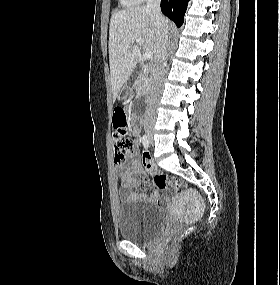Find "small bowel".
<instances>
[{
	"instance_id": "small-bowel-1",
	"label": "small bowel",
	"mask_w": 280,
	"mask_h": 285,
	"mask_svg": "<svg viewBox=\"0 0 280 285\" xmlns=\"http://www.w3.org/2000/svg\"><path fill=\"white\" fill-rule=\"evenodd\" d=\"M132 134L137 136L139 129L134 127ZM119 170V181L121 183L120 197L123 200L129 199H143L157 205H163L165 198L162 196L160 190H155L150 195H144L137 193L134 189L141 186V181L145 177L146 173L155 175L157 169L153 161L146 158L140 161L137 158L136 152L133 151L128 156V163H116Z\"/></svg>"
}]
</instances>
